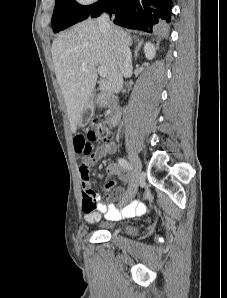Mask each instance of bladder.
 <instances>
[{
  "mask_svg": "<svg viewBox=\"0 0 227 298\" xmlns=\"http://www.w3.org/2000/svg\"><path fill=\"white\" fill-rule=\"evenodd\" d=\"M99 230H105L120 235L133 237L139 233L138 227L128 223H116L110 221H99L96 223Z\"/></svg>",
  "mask_w": 227,
  "mask_h": 298,
  "instance_id": "bladder-1",
  "label": "bladder"
}]
</instances>
